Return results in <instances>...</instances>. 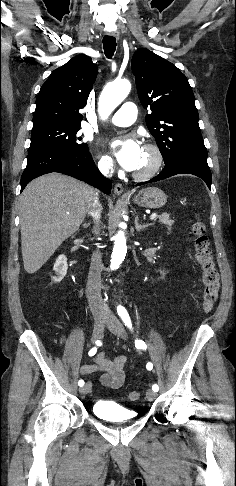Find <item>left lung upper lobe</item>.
Here are the masks:
<instances>
[{
  "mask_svg": "<svg viewBox=\"0 0 236 486\" xmlns=\"http://www.w3.org/2000/svg\"><path fill=\"white\" fill-rule=\"evenodd\" d=\"M138 96L145 109L147 127L164 162L192 157L207 159L198 111L186 76L172 63L145 48L132 58Z\"/></svg>",
  "mask_w": 236,
  "mask_h": 486,
  "instance_id": "5c2ea615",
  "label": "left lung upper lobe"
}]
</instances>
